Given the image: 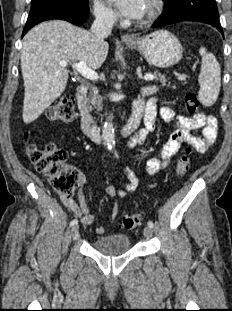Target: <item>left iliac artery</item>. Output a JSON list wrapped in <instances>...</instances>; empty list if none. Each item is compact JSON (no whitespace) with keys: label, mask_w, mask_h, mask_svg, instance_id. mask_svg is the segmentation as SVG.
<instances>
[{"label":"left iliac artery","mask_w":232,"mask_h":311,"mask_svg":"<svg viewBox=\"0 0 232 311\" xmlns=\"http://www.w3.org/2000/svg\"><path fill=\"white\" fill-rule=\"evenodd\" d=\"M148 226H149L150 228H153V227H154L153 222H152V221H148Z\"/></svg>","instance_id":"44dca946"}]
</instances>
